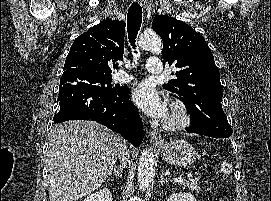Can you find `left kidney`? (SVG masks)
<instances>
[{"label": "left kidney", "mask_w": 271, "mask_h": 201, "mask_svg": "<svg viewBox=\"0 0 271 201\" xmlns=\"http://www.w3.org/2000/svg\"><path fill=\"white\" fill-rule=\"evenodd\" d=\"M168 201H197L192 194L189 193H173Z\"/></svg>", "instance_id": "5707ae66"}]
</instances>
